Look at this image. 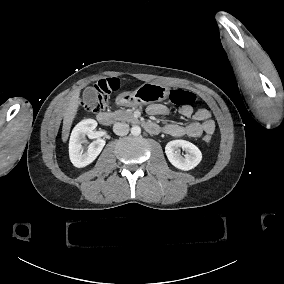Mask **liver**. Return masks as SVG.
Segmentation results:
<instances>
[{"label": "liver", "instance_id": "obj_1", "mask_svg": "<svg viewBox=\"0 0 284 284\" xmlns=\"http://www.w3.org/2000/svg\"><path fill=\"white\" fill-rule=\"evenodd\" d=\"M80 91L73 92L70 96L67 97L65 103V113L63 118V127H62V140L66 142L69 137L70 127L74 116L77 112V108L80 103Z\"/></svg>", "mask_w": 284, "mask_h": 284}]
</instances>
